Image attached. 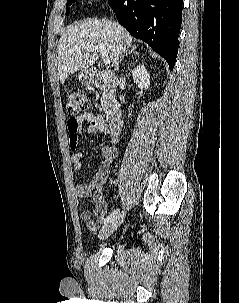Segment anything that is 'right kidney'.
Segmentation results:
<instances>
[{
    "label": "right kidney",
    "mask_w": 239,
    "mask_h": 303,
    "mask_svg": "<svg viewBox=\"0 0 239 303\" xmlns=\"http://www.w3.org/2000/svg\"><path fill=\"white\" fill-rule=\"evenodd\" d=\"M132 77L134 82L140 89L147 90L150 86V76L144 65H137L132 70Z\"/></svg>",
    "instance_id": "ca27d5eb"
}]
</instances>
